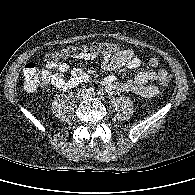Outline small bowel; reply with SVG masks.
Wrapping results in <instances>:
<instances>
[{"mask_svg": "<svg viewBox=\"0 0 195 195\" xmlns=\"http://www.w3.org/2000/svg\"><path fill=\"white\" fill-rule=\"evenodd\" d=\"M97 57L96 53H80L76 56L79 60L92 61ZM142 64L140 58L135 56L132 49L117 50L113 54H103L102 67L107 71H115L121 68L136 69ZM151 70L140 71L135 77L124 82H118L116 76L106 75L102 78V84L110 94L133 93L144 97H153L157 94L156 86L149 84L160 78L166 73L165 70H154L159 60L156 57H151L148 61ZM50 69L54 73L49 76L50 83L60 90L74 88L80 84L89 81V75L80 68H70L66 63L61 62ZM69 73L70 78L65 79L64 74Z\"/></svg>", "mask_w": 195, "mask_h": 195, "instance_id": "small-bowel-1", "label": "small bowel"}]
</instances>
